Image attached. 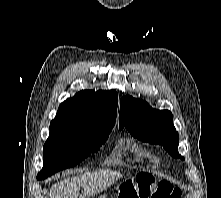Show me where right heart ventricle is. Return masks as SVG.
Wrapping results in <instances>:
<instances>
[{
	"label": "right heart ventricle",
	"instance_id": "1",
	"mask_svg": "<svg viewBox=\"0 0 221 198\" xmlns=\"http://www.w3.org/2000/svg\"><path fill=\"white\" fill-rule=\"evenodd\" d=\"M132 150H134V153L131 156V159L134 162H138V163H144L147 160L146 157V152L138 147H136L135 145L132 146Z\"/></svg>",
	"mask_w": 221,
	"mask_h": 198
}]
</instances>
